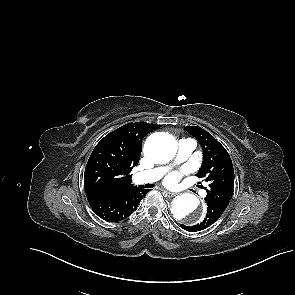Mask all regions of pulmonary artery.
<instances>
[{"label":"pulmonary artery","instance_id":"e3ab8cb5","mask_svg":"<svg viewBox=\"0 0 295 295\" xmlns=\"http://www.w3.org/2000/svg\"><path fill=\"white\" fill-rule=\"evenodd\" d=\"M195 141L187 138L181 139L178 143V152L175 159V163H180L189 158L193 150L195 149ZM168 167H158L148 171L140 172L136 174L135 181L139 184L156 182L163 177L167 172ZM201 196H205L206 192L201 191Z\"/></svg>","mask_w":295,"mask_h":295}]
</instances>
